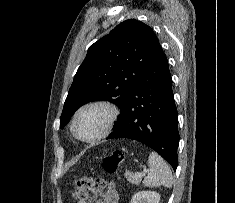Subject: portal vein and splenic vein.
<instances>
[{
	"mask_svg": "<svg viewBox=\"0 0 235 203\" xmlns=\"http://www.w3.org/2000/svg\"><path fill=\"white\" fill-rule=\"evenodd\" d=\"M147 172V170L146 169H144L143 171H141V172H136V174H135V176L136 177H142V176H144L145 175V173Z\"/></svg>",
	"mask_w": 235,
	"mask_h": 203,
	"instance_id": "obj_1",
	"label": "portal vein and splenic vein"
}]
</instances>
